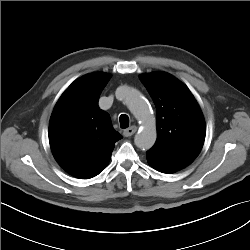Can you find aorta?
<instances>
[{
    "mask_svg": "<svg viewBox=\"0 0 250 250\" xmlns=\"http://www.w3.org/2000/svg\"><path fill=\"white\" fill-rule=\"evenodd\" d=\"M117 96L123 100L141 124L134 138L135 145L143 150L152 148L157 138L156 122L147 101L139 91L127 86L118 88Z\"/></svg>",
    "mask_w": 250,
    "mask_h": 250,
    "instance_id": "1",
    "label": "aorta"
}]
</instances>
